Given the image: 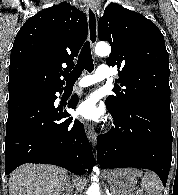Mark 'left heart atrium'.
<instances>
[{
  "mask_svg": "<svg viewBox=\"0 0 178 195\" xmlns=\"http://www.w3.org/2000/svg\"><path fill=\"white\" fill-rule=\"evenodd\" d=\"M76 113L87 121H99L103 114L102 108L92 96L85 98L79 103Z\"/></svg>",
  "mask_w": 178,
  "mask_h": 195,
  "instance_id": "obj_1",
  "label": "left heart atrium"
}]
</instances>
